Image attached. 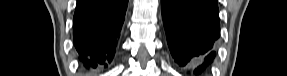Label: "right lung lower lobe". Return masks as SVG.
<instances>
[{
    "instance_id": "obj_1",
    "label": "right lung lower lobe",
    "mask_w": 287,
    "mask_h": 76,
    "mask_svg": "<svg viewBox=\"0 0 287 76\" xmlns=\"http://www.w3.org/2000/svg\"><path fill=\"white\" fill-rule=\"evenodd\" d=\"M127 5L128 0H77L74 44L86 68L96 71L112 61Z\"/></svg>"
}]
</instances>
